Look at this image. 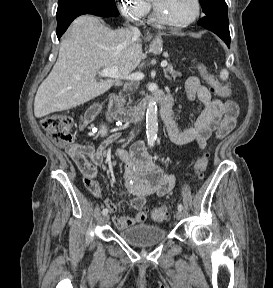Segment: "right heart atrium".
<instances>
[{"instance_id": "right-heart-atrium-1", "label": "right heart atrium", "mask_w": 273, "mask_h": 288, "mask_svg": "<svg viewBox=\"0 0 273 288\" xmlns=\"http://www.w3.org/2000/svg\"><path fill=\"white\" fill-rule=\"evenodd\" d=\"M121 13L132 22L142 21L150 11L145 0H116Z\"/></svg>"}]
</instances>
